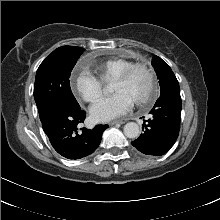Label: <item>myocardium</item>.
<instances>
[{"instance_id": "f54148a6", "label": "myocardium", "mask_w": 220, "mask_h": 220, "mask_svg": "<svg viewBox=\"0 0 220 220\" xmlns=\"http://www.w3.org/2000/svg\"><path fill=\"white\" fill-rule=\"evenodd\" d=\"M138 70L145 71L149 79V88L146 95L142 99L135 102L138 106H144L151 103L157 95L156 76L153 69L148 63L146 62L133 63L115 79V82H126L127 80L130 79L133 73Z\"/></svg>"}]
</instances>
